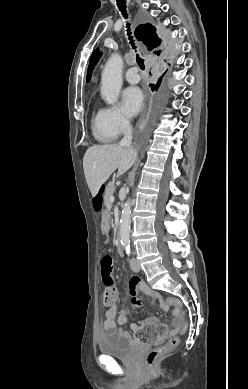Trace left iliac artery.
<instances>
[{
  "label": "left iliac artery",
  "instance_id": "44dca946",
  "mask_svg": "<svg viewBox=\"0 0 248 389\" xmlns=\"http://www.w3.org/2000/svg\"><path fill=\"white\" fill-rule=\"evenodd\" d=\"M126 252H127V254H130V248L129 247L126 248Z\"/></svg>",
  "mask_w": 248,
  "mask_h": 389
}]
</instances>
